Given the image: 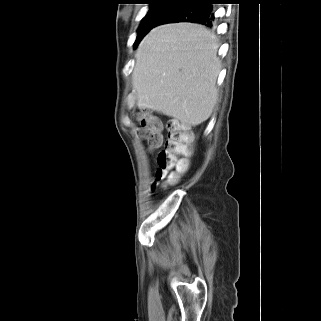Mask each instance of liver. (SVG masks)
Segmentation results:
<instances>
[{
	"label": "liver",
	"mask_w": 321,
	"mask_h": 321,
	"mask_svg": "<svg viewBox=\"0 0 321 321\" xmlns=\"http://www.w3.org/2000/svg\"><path fill=\"white\" fill-rule=\"evenodd\" d=\"M218 42L204 26L167 24L141 41L132 74L137 106L187 125L206 121L217 102Z\"/></svg>",
	"instance_id": "1"
}]
</instances>
